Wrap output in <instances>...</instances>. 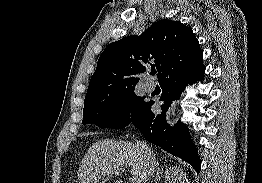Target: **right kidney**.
I'll list each match as a JSON object with an SVG mask.
<instances>
[{
    "label": "right kidney",
    "mask_w": 262,
    "mask_h": 183,
    "mask_svg": "<svg viewBox=\"0 0 262 183\" xmlns=\"http://www.w3.org/2000/svg\"><path fill=\"white\" fill-rule=\"evenodd\" d=\"M187 177L186 173L183 172L182 169L175 166L169 169V171L166 172L165 176V183H186ZM189 183V182H187Z\"/></svg>",
    "instance_id": "1"
}]
</instances>
